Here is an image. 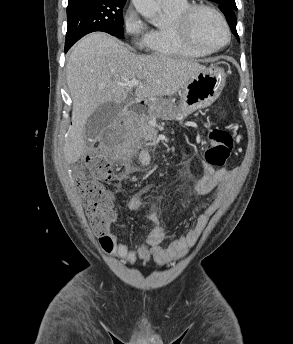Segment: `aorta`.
Returning <instances> with one entry per match:
<instances>
[{
  "mask_svg": "<svg viewBox=\"0 0 293 344\" xmlns=\"http://www.w3.org/2000/svg\"><path fill=\"white\" fill-rule=\"evenodd\" d=\"M137 12L144 18L149 19L154 26L162 23V12L157 0H132Z\"/></svg>",
  "mask_w": 293,
  "mask_h": 344,
  "instance_id": "762f6f07",
  "label": "aorta"
}]
</instances>
